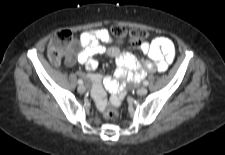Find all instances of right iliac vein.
Here are the masks:
<instances>
[{
    "label": "right iliac vein",
    "instance_id": "right-iliac-vein-1",
    "mask_svg": "<svg viewBox=\"0 0 225 155\" xmlns=\"http://www.w3.org/2000/svg\"><path fill=\"white\" fill-rule=\"evenodd\" d=\"M77 90H78L79 93H84L86 88H85L84 85L81 84V85L78 86Z\"/></svg>",
    "mask_w": 225,
    "mask_h": 155
}]
</instances>
